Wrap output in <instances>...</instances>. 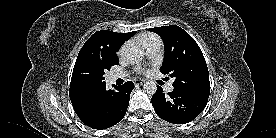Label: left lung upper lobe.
<instances>
[{
  "mask_svg": "<svg viewBox=\"0 0 276 138\" xmlns=\"http://www.w3.org/2000/svg\"><path fill=\"white\" fill-rule=\"evenodd\" d=\"M164 42L165 58L160 71L175 78L174 90L198 97L210 94L209 72L195 40L176 25L150 28Z\"/></svg>",
  "mask_w": 276,
  "mask_h": 138,
  "instance_id": "obj_1",
  "label": "left lung upper lobe"
}]
</instances>
